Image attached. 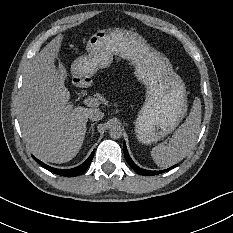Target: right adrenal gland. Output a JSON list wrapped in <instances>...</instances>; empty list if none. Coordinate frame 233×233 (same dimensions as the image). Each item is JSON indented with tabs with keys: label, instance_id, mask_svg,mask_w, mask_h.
Masks as SVG:
<instances>
[{
	"label": "right adrenal gland",
	"instance_id": "right-adrenal-gland-1",
	"mask_svg": "<svg viewBox=\"0 0 233 233\" xmlns=\"http://www.w3.org/2000/svg\"><path fill=\"white\" fill-rule=\"evenodd\" d=\"M97 122H94V123H92L91 124V127L89 128V130H88V133H92V136H93V134H94V125L96 124Z\"/></svg>",
	"mask_w": 233,
	"mask_h": 233
}]
</instances>
